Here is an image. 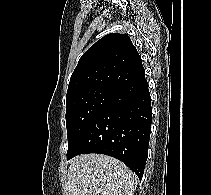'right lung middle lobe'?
Here are the masks:
<instances>
[{"instance_id": "obj_1", "label": "right lung middle lobe", "mask_w": 211, "mask_h": 195, "mask_svg": "<svg viewBox=\"0 0 211 195\" xmlns=\"http://www.w3.org/2000/svg\"><path fill=\"white\" fill-rule=\"evenodd\" d=\"M111 92L109 89L96 88L66 98L67 152L74 148L105 107Z\"/></svg>"}]
</instances>
